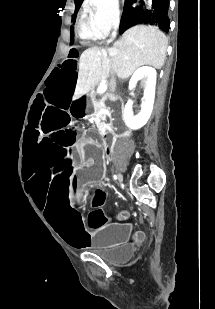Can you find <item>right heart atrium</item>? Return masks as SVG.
Here are the masks:
<instances>
[{
  "instance_id": "1",
  "label": "right heart atrium",
  "mask_w": 215,
  "mask_h": 309,
  "mask_svg": "<svg viewBox=\"0 0 215 309\" xmlns=\"http://www.w3.org/2000/svg\"><path fill=\"white\" fill-rule=\"evenodd\" d=\"M117 5V0H91L92 7H99L91 16L97 38L102 39L118 29L120 13Z\"/></svg>"
}]
</instances>
